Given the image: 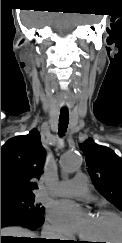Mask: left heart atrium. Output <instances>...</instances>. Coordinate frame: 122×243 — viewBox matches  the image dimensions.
Instances as JSON below:
<instances>
[{
  "label": "left heart atrium",
  "mask_w": 122,
  "mask_h": 243,
  "mask_svg": "<svg viewBox=\"0 0 122 243\" xmlns=\"http://www.w3.org/2000/svg\"><path fill=\"white\" fill-rule=\"evenodd\" d=\"M50 221L61 231L82 234L89 216L69 200L54 202L48 211Z\"/></svg>",
  "instance_id": "1"
}]
</instances>
